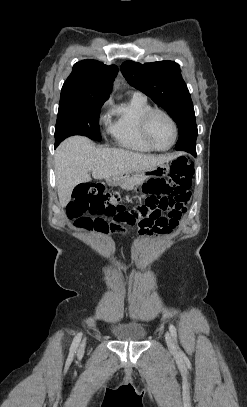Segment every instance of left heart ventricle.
<instances>
[{
    "label": "left heart ventricle",
    "mask_w": 247,
    "mask_h": 407,
    "mask_svg": "<svg viewBox=\"0 0 247 407\" xmlns=\"http://www.w3.org/2000/svg\"><path fill=\"white\" fill-rule=\"evenodd\" d=\"M148 132L151 141L159 148H166L172 142L173 127L163 115L155 114L150 119Z\"/></svg>",
    "instance_id": "obj_1"
}]
</instances>
